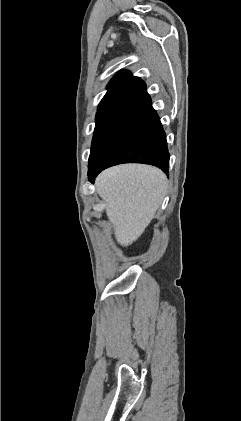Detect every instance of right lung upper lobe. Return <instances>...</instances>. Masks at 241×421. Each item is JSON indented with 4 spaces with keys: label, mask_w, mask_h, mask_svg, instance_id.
Instances as JSON below:
<instances>
[{
    "label": "right lung upper lobe",
    "mask_w": 241,
    "mask_h": 421,
    "mask_svg": "<svg viewBox=\"0 0 241 421\" xmlns=\"http://www.w3.org/2000/svg\"><path fill=\"white\" fill-rule=\"evenodd\" d=\"M146 92L145 83L128 71H120L109 83L108 91L98 106V111L133 103Z\"/></svg>",
    "instance_id": "1"
}]
</instances>
